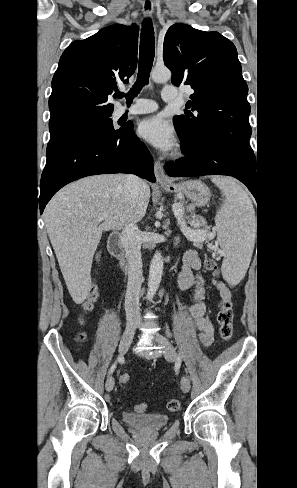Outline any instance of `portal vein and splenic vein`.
<instances>
[{
  "instance_id": "portal-vein-and-splenic-vein-1",
  "label": "portal vein and splenic vein",
  "mask_w": 297,
  "mask_h": 488,
  "mask_svg": "<svg viewBox=\"0 0 297 488\" xmlns=\"http://www.w3.org/2000/svg\"><path fill=\"white\" fill-rule=\"evenodd\" d=\"M173 208L175 209V214L177 215V220H178V223L182 226L183 228V222H182V217L184 215V208L183 206H181L180 204L178 203H174L173 204ZM107 217V213H102L100 215L97 216V221H101L103 220L104 218ZM189 232L192 233V234H197L198 231H195V230H191L189 229Z\"/></svg>"
}]
</instances>
